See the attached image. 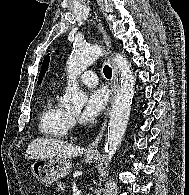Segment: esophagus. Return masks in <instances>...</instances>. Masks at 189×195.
<instances>
[{
	"label": "esophagus",
	"mask_w": 189,
	"mask_h": 195,
	"mask_svg": "<svg viewBox=\"0 0 189 195\" xmlns=\"http://www.w3.org/2000/svg\"><path fill=\"white\" fill-rule=\"evenodd\" d=\"M99 27L100 30L103 34V39L106 43V47L107 50L109 51V59H112V51H111V40L110 37L107 33V31L105 30L104 26L102 25L101 22H99ZM112 68H113V82L115 85L118 84V75H117V70L114 64H112ZM107 119H108V113L107 116L105 117L103 123L101 124L100 130L98 132V134L96 135L95 139L93 140V142L88 146L87 152L90 154H94L97 151L98 145L103 137L104 131L106 129V125H107Z\"/></svg>",
	"instance_id": "esophagus-1"
}]
</instances>
